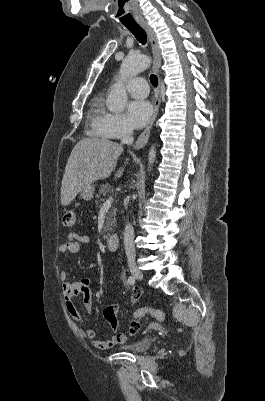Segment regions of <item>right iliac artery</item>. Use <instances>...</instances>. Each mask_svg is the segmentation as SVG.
<instances>
[{
	"label": "right iliac artery",
	"instance_id": "1",
	"mask_svg": "<svg viewBox=\"0 0 265 401\" xmlns=\"http://www.w3.org/2000/svg\"><path fill=\"white\" fill-rule=\"evenodd\" d=\"M127 281H128V283H129L130 285H132V286L135 284V278L132 277V276H129Z\"/></svg>",
	"mask_w": 265,
	"mask_h": 401
}]
</instances>
